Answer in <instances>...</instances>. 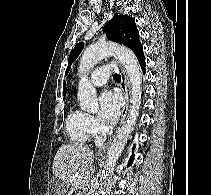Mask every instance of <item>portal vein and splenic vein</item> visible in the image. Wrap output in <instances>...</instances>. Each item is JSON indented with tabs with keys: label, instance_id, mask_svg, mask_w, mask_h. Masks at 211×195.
Masks as SVG:
<instances>
[{
	"label": "portal vein and splenic vein",
	"instance_id": "1",
	"mask_svg": "<svg viewBox=\"0 0 211 195\" xmlns=\"http://www.w3.org/2000/svg\"><path fill=\"white\" fill-rule=\"evenodd\" d=\"M78 176V173H76L71 181H74L76 177Z\"/></svg>",
	"mask_w": 211,
	"mask_h": 195
}]
</instances>
